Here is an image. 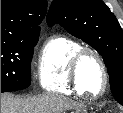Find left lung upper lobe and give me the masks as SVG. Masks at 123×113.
I'll list each match as a JSON object with an SVG mask.
<instances>
[{
  "instance_id": "1",
  "label": "left lung upper lobe",
  "mask_w": 123,
  "mask_h": 113,
  "mask_svg": "<svg viewBox=\"0 0 123 113\" xmlns=\"http://www.w3.org/2000/svg\"><path fill=\"white\" fill-rule=\"evenodd\" d=\"M47 22L60 24L98 51L114 98L123 105V31L108 6L102 0H54Z\"/></svg>"
}]
</instances>
